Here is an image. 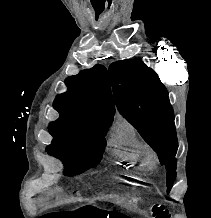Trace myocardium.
I'll return each instance as SVG.
<instances>
[{
	"label": "myocardium",
	"instance_id": "f54148a6",
	"mask_svg": "<svg viewBox=\"0 0 211 218\" xmlns=\"http://www.w3.org/2000/svg\"><path fill=\"white\" fill-rule=\"evenodd\" d=\"M153 157H154L153 151H152V150H147V158H148V159H151V158H153Z\"/></svg>",
	"mask_w": 211,
	"mask_h": 218
}]
</instances>
